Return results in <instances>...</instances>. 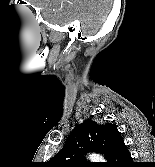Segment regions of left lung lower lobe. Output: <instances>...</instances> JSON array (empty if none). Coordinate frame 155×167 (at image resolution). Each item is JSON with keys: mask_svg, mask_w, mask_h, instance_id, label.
<instances>
[{"mask_svg": "<svg viewBox=\"0 0 155 167\" xmlns=\"http://www.w3.org/2000/svg\"><path fill=\"white\" fill-rule=\"evenodd\" d=\"M129 163H132V158L124 141H122L116 149L108 167H126V164Z\"/></svg>", "mask_w": 155, "mask_h": 167, "instance_id": "0a47b994", "label": "left lung lower lobe"}]
</instances>
